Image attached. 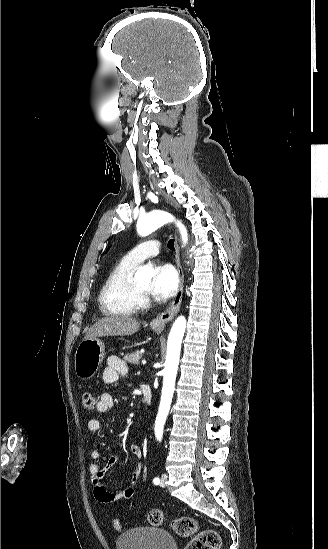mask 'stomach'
<instances>
[{"label": "stomach", "mask_w": 328, "mask_h": 549, "mask_svg": "<svg viewBox=\"0 0 328 549\" xmlns=\"http://www.w3.org/2000/svg\"><path fill=\"white\" fill-rule=\"evenodd\" d=\"M104 353L105 343L101 339H84L75 353L76 377L82 381L92 379L104 359Z\"/></svg>", "instance_id": "1"}]
</instances>
